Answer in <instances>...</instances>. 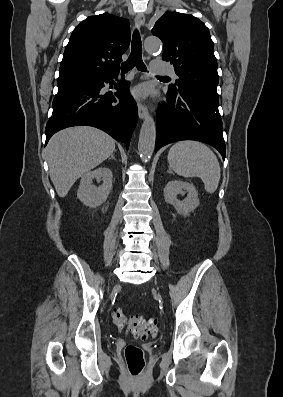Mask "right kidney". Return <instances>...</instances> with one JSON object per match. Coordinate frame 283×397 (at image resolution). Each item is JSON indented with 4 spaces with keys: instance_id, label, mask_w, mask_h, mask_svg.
Here are the masks:
<instances>
[{
    "instance_id": "obj_1",
    "label": "right kidney",
    "mask_w": 283,
    "mask_h": 397,
    "mask_svg": "<svg viewBox=\"0 0 283 397\" xmlns=\"http://www.w3.org/2000/svg\"><path fill=\"white\" fill-rule=\"evenodd\" d=\"M102 180V185L96 187L92 180ZM112 171L107 167H100L93 171L86 172L82 178L77 191L78 199L86 206L95 208L104 203L112 190Z\"/></svg>"
}]
</instances>
